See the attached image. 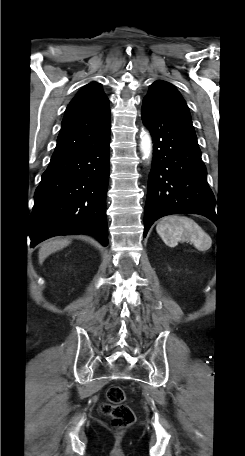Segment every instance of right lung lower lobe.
<instances>
[{"instance_id": "1", "label": "right lung lower lobe", "mask_w": 245, "mask_h": 456, "mask_svg": "<svg viewBox=\"0 0 245 456\" xmlns=\"http://www.w3.org/2000/svg\"><path fill=\"white\" fill-rule=\"evenodd\" d=\"M110 125L89 146L52 157L35 192L31 246L56 235L89 234L108 245L106 193Z\"/></svg>"}]
</instances>
